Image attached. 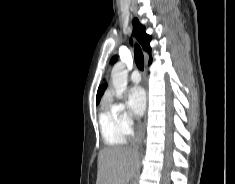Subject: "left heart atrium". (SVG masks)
<instances>
[{
  "label": "left heart atrium",
  "instance_id": "39dd6f15",
  "mask_svg": "<svg viewBox=\"0 0 235 184\" xmlns=\"http://www.w3.org/2000/svg\"><path fill=\"white\" fill-rule=\"evenodd\" d=\"M146 107V93L141 87H135L129 94V109L131 114L139 119Z\"/></svg>",
  "mask_w": 235,
  "mask_h": 184
}]
</instances>
